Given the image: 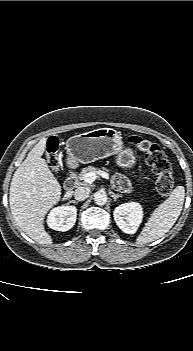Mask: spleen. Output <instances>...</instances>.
<instances>
[{"instance_id":"1","label":"spleen","mask_w":193,"mask_h":351,"mask_svg":"<svg viewBox=\"0 0 193 351\" xmlns=\"http://www.w3.org/2000/svg\"><path fill=\"white\" fill-rule=\"evenodd\" d=\"M185 198V188L177 186L163 203L151 214L136 243L146 244L163 237L175 224L181 214Z\"/></svg>"}]
</instances>
